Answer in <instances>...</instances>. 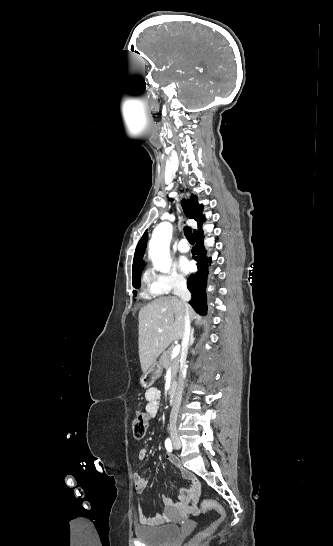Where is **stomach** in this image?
<instances>
[{"label":"stomach","mask_w":333,"mask_h":546,"mask_svg":"<svg viewBox=\"0 0 333 546\" xmlns=\"http://www.w3.org/2000/svg\"><path fill=\"white\" fill-rule=\"evenodd\" d=\"M162 366L159 361L153 363L150 368L143 373L140 382L144 387H150L161 376Z\"/></svg>","instance_id":"obj_1"}]
</instances>
